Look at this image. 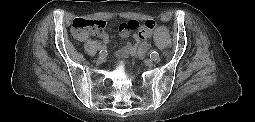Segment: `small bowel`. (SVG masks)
Masks as SVG:
<instances>
[{"label": "small bowel", "mask_w": 255, "mask_h": 122, "mask_svg": "<svg viewBox=\"0 0 255 122\" xmlns=\"http://www.w3.org/2000/svg\"><path fill=\"white\" fill-rule=\"evenodd\" d=\"M119 32H120V36L123 38L128 37L130 34V30H128L124 25L119 26ZM91 35H97V36L101 37L105 44H107L109 42V35L105 31H93V30L86 32L80 40L87 39ZM149 37H150V35L146 36L144 38H141L139 33L137 32L134 35L136 43L135 44H131V43L124 44L122 47H120L116 51L117 55L122 58H125L130 55L131 56L143 55L149 47V43L147 41V39Z\"/></svg>", "instance_id": "c3829d8e"}]
</instances>
